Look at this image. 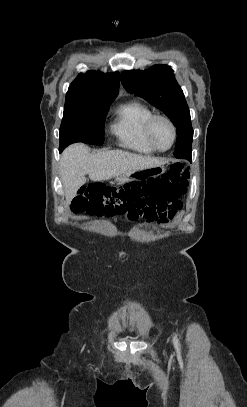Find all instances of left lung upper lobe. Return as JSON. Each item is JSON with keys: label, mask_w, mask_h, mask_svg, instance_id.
<instances>
[{"label": "left lung upper lobe", "mask_w": 247, "mask_h": 407, "mask_svg": "<svg viewBox=\"0 0 247 407\" xmlns=\"http://www.w3.org/2000/svg\"><path fill=\"white\" fill-rule=\"evenodd\" d=\"M121 82L128 92L144 98L172 121L177 131L174 156L191 160L193 129L190 111L170 67L155 65L145 71H124Z\"/></svg>", "instance_id": "5c2ea615"}]
</instances>
